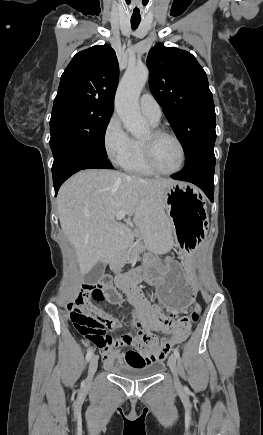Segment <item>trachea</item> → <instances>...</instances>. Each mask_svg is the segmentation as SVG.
Returning <instances> with one entry per match:
<instances>
[{
    "label": "trachea",
    "mask_w": 263,
    "mask_h": 435,
    "mask_svg": "<svg viewBox=\"0 0 263 435\" xmlns=\"http://www.w3.org/2000/svg\"><path fill=\"white\" fill-rule=\"evenodd\" d=\"M140 24V20H131L132 29L135 30Z\"/></svg>",
    "instance_id": "1"
}]
</instances>
